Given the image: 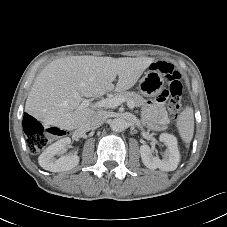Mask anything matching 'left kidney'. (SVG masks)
Instances as JSON below:
<instances>
[{"label":"left kidney","instance_id":"5707ae66","mask_svg":"<svg viewBox=\"0 0 227 227\" xmlns=\"http://www.w3.org/2000/svg\"><path fill=\"white\" fill-rule=\"evenodd\" d=\"M159 140L167 146L164 158L160 159L158 156H153L150 147L142 145L140 147L142 162L149 169L158 168L162 171H173L180 161L177 139L174 135L162 133Z\"/></svg>","mask_w":227,"mask_h":227}]
</instances>
